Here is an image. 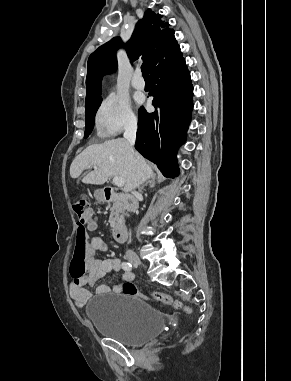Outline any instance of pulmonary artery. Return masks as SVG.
Wrapping results in <instances>:
<instances>
[{"mask_svg":"<svg viewBox=\"0 0 291 381\" xmlns=\"http://www.w3.org/2000/svg\"><path fill=\"white\" fill-rule=\"evenodd\" d=\"M132 86L137 90H143L145 88V82L141 76L140 71L135 72L132 79Z\"/></svg>","mask_w":291,"mask_h":381,"instance_id":"1","label":"pulmonary artery"}]
</instances>
